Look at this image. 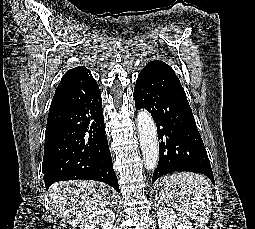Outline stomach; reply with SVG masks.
<instances>
[{
    "instance_id": "obj_1",
    "label": "stomach",
    "mask_w": 255,
    "mask_h": 229,
    "mask_svg": "<svg viewBox=\"0 0 255 229\" xmlns=\"http://www.w3.org/2000/svg\"><path fill=\"white\" fill-rule=\"evenodd\" d=\"M179 186V184L175 180H169V179H161L159 182V187H162L163 189L173 190L176 189V187Z\"/></svg>"
}]
</instances>
